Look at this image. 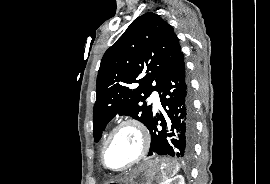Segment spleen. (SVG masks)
<instances>
[{
    "mask_svg": "<svg viewBox=\"0 0 270 184\" xmlns=\"http://www.w3.org/2000/svg\"><path fill=\"white\" fill-rule=\"evenodd\" d=\"M177 171H178V169L171 176H164L163 181L168 180L170 177L174 176L177 173Z\"/></svg>",
    "mask_w": 270,
    "mask_h": 184,
    "instance_id": "spleen-1",
    "label": "spleen"
}]
</instances>
